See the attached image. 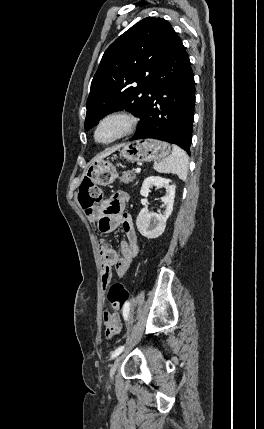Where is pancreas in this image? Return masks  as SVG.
<instances>
[{"label": "pancreas", "mask_w": 264, "mask_h": 429, "mask_svg": "<svg viewBox=\"0 0 264 429\" xmlns=\"http://www.w3.org/2000/svg\"><path fill=\"white\" fill-rule=\"evenodd\" d=\"M119 179L121 182L127 184V183L133 182V180L136 179V176L133 171H126V172H123L122 176L119 177Z\"/></svg>", "instance_id": "cf45deb5"}]
</instances>
